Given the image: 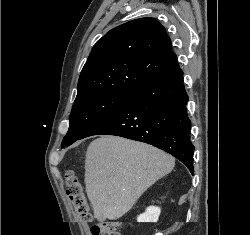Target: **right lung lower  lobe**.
Listing matches in <instances>:
<instances>
[{
	"label": "right lung lower lobe",
	"mask_w": 250,
	"mask_h": 235,
	"mask_svg": "<svg viewBox=\"0 0 250 235\" xmlns=\"http://www.w3.org/2000/svg\"><path fill=\"white\" fill-rule=\"evenodd\" d=\"M188 99L183 71L175 55L164 71L80 139L106 134L145 142L170 153L193 174L194 146L189 137Z\"/></svg>",
	"instance_id": "98d812e1"
}]
</instances>
